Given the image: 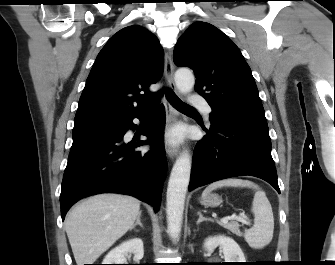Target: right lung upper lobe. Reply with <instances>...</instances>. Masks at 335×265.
<instances>
[{
  "instance_id": "1",
  "label": "right lung upper lobe",
  "mask_w": 335,
  "mask_h": 265,
  "mask_svg": "<svg viewBox=\"0 0 335 265\" xmlns=\"http://www.w3.org/2000/svg\"><path fill=\"white\" fill-rule=\"evenodd\" d=\"M164 51L141 26L115 33L98 54L79 99L74 126L116 124L154 100L149 86L163 72Z\"/></svg>"
}]
</instances>
